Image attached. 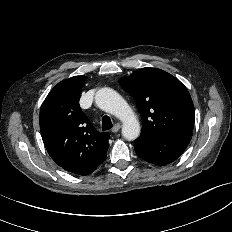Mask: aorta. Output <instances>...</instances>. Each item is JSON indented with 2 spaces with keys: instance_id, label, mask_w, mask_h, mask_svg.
<instances>
[{
  "instance_id": "1",
  "label": "aorta",
  "mask_w": 232,
  "mask_h": 232,
  "mask_svg": "<svg viewBox=\"0 0 232 232\" xmlns=\"http://www.w3.org/2000/svg\"><path fill=\"white\" fill-rule=\"evenodd\" d=\"M95 102L100 109L122 121V135L125 139L131 141L139 136V121L128 103L115 90L99 89L95 95Z\"/></svg>"
}]
</instances>
